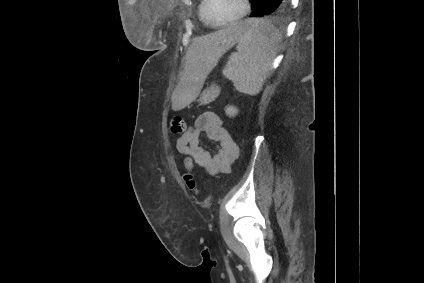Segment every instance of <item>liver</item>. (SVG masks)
<instances>
[{
    "label": "liver",
    "instance_id": "6515ba94",
    "mask_svg": "<svg viewBox=\"0 0 424 283\" xmlns=\"http://www.w3.org/2000/svg\"><path fill=\"white\" fill-rule=\"evenodd\" d=\"M245 32V23H234L194 39L186 52L181 81L172 94L174 111L182 110L195 100L204 80L222 54L239 41Z\"/></svg>",
    "mask_w": 424,
    "mask_h": 283
}]
</instances>
